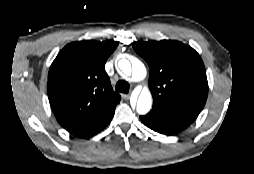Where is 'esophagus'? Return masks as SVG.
Here are the masks:
<instances>
[{"label": "esophagus", "instance_id": "34e87169", "mask_svg": "<svg viewBox=\"0 0 254 174\" xmlns=\"http://www.w3.org/2000/svg\"><path fill=\"white\" fill-rule=\"evenodd\" d=\"M122 98L124 100H128L130 98V94H122Z\"/></svg>", "mask_w": 254, "mask_h": 174}]
</instances>
